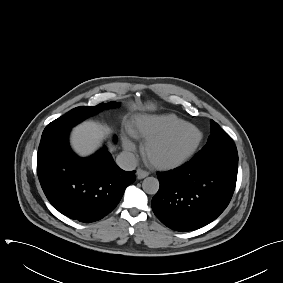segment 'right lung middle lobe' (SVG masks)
Segmentation results:
<instances>
[{"mask_svg": "<svg viewBox=\"0 0 283 283\" xmlns=\"http://www.w3.org/2000/svg\"><path fill=\"white\" fill-rule=\"evenodd\" d=\"M117 102H110L108 104L101 103L94 107L80 106L67 112L65 115L54 120L46 126L43 131L41 140L46 139L54 134L70 130L71 127L81 122L83 119L92 116L108 106H118Z\"/></svg>", "mask_w": 283, "mask_h": 283, "instance_id": "right-lung-middle-lobe-1", "label": "right lung middle lobe"}]
</instances>
